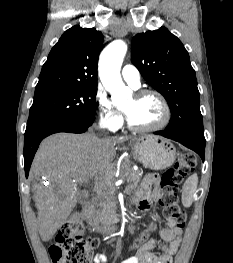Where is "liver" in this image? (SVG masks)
Wrapping results in <instances>:
<instances>
[{
  "label": "liver",
  "mask_w": 233,
  "mask_h": 263,
  "mask_svg": "<svg viewBox=\"0 0 233 263\" xmlns=\"http://www.w3.org/2000/svg\"><path fill=\"white\" fill-rule=\"evenodd\" d=\"M128 136L98 138L92 133H57L45 138L35 155L31 174L39 180L32 186L37 208L38 230L49 241L75 208L81 195L80 178L101 181L115 158V145ZM41 178H46L44 185Z\"/></svg>",
  "instance_id": "obj_1"
}]
</instances>
